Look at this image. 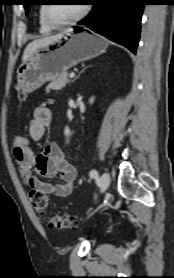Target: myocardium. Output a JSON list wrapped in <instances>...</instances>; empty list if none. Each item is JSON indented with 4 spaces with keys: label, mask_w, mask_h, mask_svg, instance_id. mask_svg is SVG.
I'll return each instance as SVG.
<instances>
[{
    "label": "myocardium",
    "mask_w": 174,
    "mask_h": 278,
    "mask_svg": "<svg viewBox=\"0 0 174 278\" xmlns=\"http://www.w3.org/2000/svg\"><path fill=\"white\" fill-rule=\"evenodd\" d=\"M49 7L50 5L47 4L43 6L42 15L47 25L53 29L63 28L65 26H69L78 22L79 20L83 19L87 15L90 9V6L88 4H85L83 5L81 11L75 17L64 22H56L49 15Z\"/></svg>",
    "instance_id": "1"
}]
</instances>
